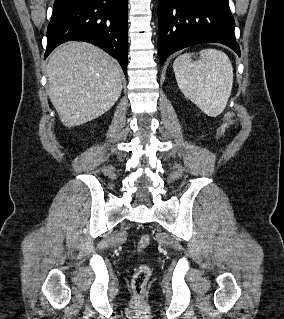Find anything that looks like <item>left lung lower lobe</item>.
<instances>
[{"label": "left lung lower lobe", "instance_id": "0a47b994", "mask_svg": "<svg viewBox=\"0 0 284 319\" xmlns=\"http://www.w3.org/2000/svg\"><path fill=\"white\" fill-rule=\"evenodd\" d=\"M228 0H158L160 65L174 52L199 43H222L240 56Z\"/></svg>", "mask_w": 284, "mask_h": 319}]
</instances>
